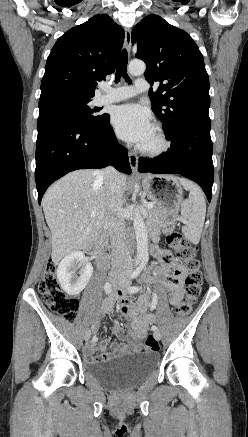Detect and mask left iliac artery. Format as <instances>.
I'll list each match as a JSON object with an SVG mask.
<instances>
[{
	"label": "left iliac artery",
	"mask_w": 248,
	"mask_h": 437,
	"mask_svg": "<svg viewBox=\"0 0 248 437\" xmlns=\"http://www.w3.org/2000/svg\"><path fill=\"white\" fill-rule=\"evenodd\" d=\"M143 266H144V262L133 272V274L131 275V278H133V279L137 278L139 276V274L141 273V271L143 269ZM128 290L131 293H136V292H138L140 290V287L132 286V287H129ZM157 303H158L157 295H156V293H153L151 309H155ZM151 329L153 331H156L157 330V326L152 325Z\"/></svg>",
	"instance_id": "left-iliac-artery-1"
}]
</instances>
